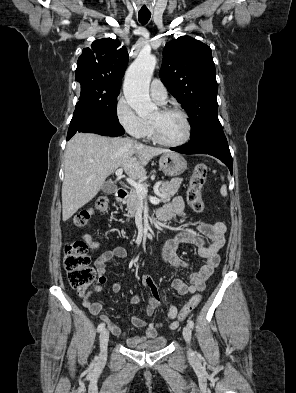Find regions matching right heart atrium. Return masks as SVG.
I'll return each mask as SVG.
<instances>
[{
  "label": "right heart atrium",
  "mask_w": 296,
  "mask_h": 393,
  "mask_svg": "<svg viewBox=\"0 0 296 393\" xmlns=\"http://www.w3.org/2000/svg\"><path fill=\"white\" fill-rule=\"evenodd\" d=\"M115 115L125 131L136 139L147 137L149 123L142 119L124 97H120L115 104Z\"/></svg>",
  "instance_id": "right-heart-atrium-1"
}]
</instances>
